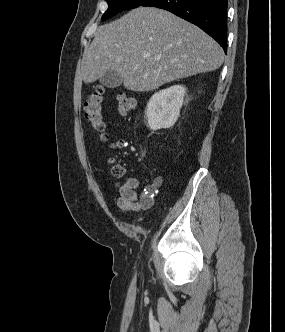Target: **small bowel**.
<instances>
[{
    "mask_svg": "<svg viewBox=\"0 0 285 332\" xmlns=\"http://www.w3.org/2000/svg\"><path fill=\"white\" fill-rule=\"evenodd\" d=\"M163 183L162 176L145 180L142 192L139 194L140 181L133 176H126L122 182L116 183L119 193L117 206L123 211H140L148 209L153 198Z\"/></svg>",
    "mask_w": 285,
    "mask_h": 332,
    "instance_id": "1",
    "label": "small bowel"
}]
</instances>
